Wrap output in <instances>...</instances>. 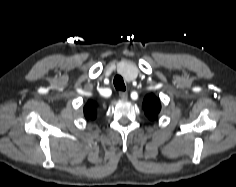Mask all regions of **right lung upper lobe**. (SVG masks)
I'll list each match as a JSON object with an SVG mask.
<instances>
[{
    "label": "right lung upper lobe",
    "mask_w": 236,
    "mask_h": 187,
    "mask_svg": "<svg viewBox=\"0 0 236 187\" xmlns=\"http://www.w3.org/2000/svg\"><path fill=\"white\" fill-rule=\"evenodd\" d=\"M96 108L95 103L93 101H88L84 106V115L88 120H94L96 117Z\"/></svg>",
    "instance_id": "right-lung-upper-lobe-1"
}]
</instances>
